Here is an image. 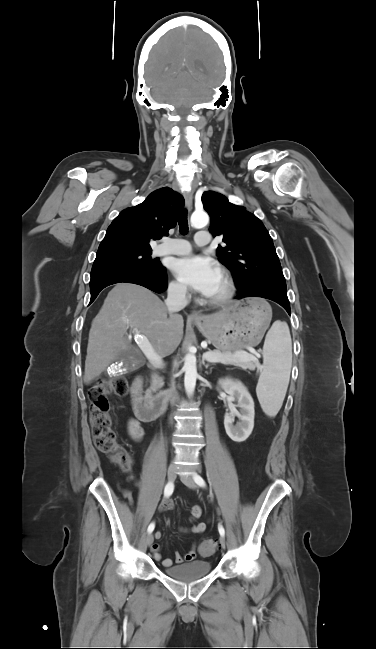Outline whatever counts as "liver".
<instances>
[{"label": "liver", "instance_id": "6515ba94", "mask_svg": "<svg viewBox=\"0 0 376 649\" xmlns=\"http://www.w3.org/2000/svg\"><path fill=\"white\" fill-rule=\"evenodd\" d=\"M167 314V306L150 290L130 283L115 285L91 324L84 383L100 376L120 352L131 349L128 328L145 335L161 358L172 354L182 340L184 320L179 314Z\"/></svg>", "mask_w": 376, "mask_h": 649}]
</instances>
